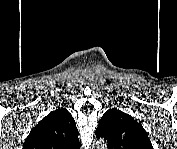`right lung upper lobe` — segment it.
I'll list each match as a JSON object with an SVG mask.
<instances>
[{
	"label": "right lung upper lobe",
	"instance_id": "obj_1",
	"mask_svg": "<svg viewBox=\"0 0 177 149\" xmlns=\"http://www.w3.org/2000/svg\"><path fill=\"white\" fill-rule=\"evenodd\" d=\"M78 130L72 115L59 108L43 118L30 132L24 149H78Z\"/></svg>",
	"mask_w": 177,
	"mask_h": 149
}]
</instances>
